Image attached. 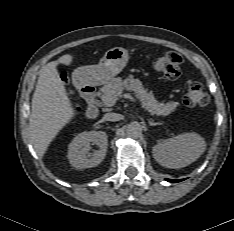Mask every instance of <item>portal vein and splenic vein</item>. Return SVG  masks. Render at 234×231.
I'll list each match as a JSON object with an SVG mask.
<instances>
[{"instance_id": "1", "label": "portal vein and splenic vein", "mask_w": 234, "mask_h": 231, "mask_svg": "<svg viewBox=\"0 0 234 231\" xmlns=\"http://www.w3.org/2000/svg\"><path fill=\"white\" fill-rule=\"evenodd\" d=\"M122 97H124V98H126V99H129V100H131L132 102H136V100L129 94V93H125V94H123L122 95ZM115 100L114 99H112V98H107V99H105L104 100V104L106 105V106H113L114 104H115Z\"/></svg>"}]
</instances>
